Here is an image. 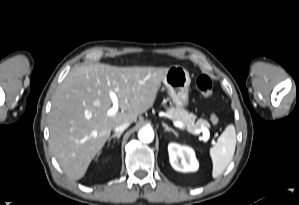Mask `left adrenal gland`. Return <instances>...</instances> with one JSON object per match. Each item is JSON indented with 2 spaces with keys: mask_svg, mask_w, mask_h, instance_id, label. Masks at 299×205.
I'll list each match as a JSON object with an SVG mask.
<instances>
[{
  "mask_svg": "<svg viewBox=\"0 0 299 205\" xmlns=\"http://www.w3.org/2000/svg\"><path fill=\"white\" fill-rule=\"evenodd\" d=\"M163 127H165V131L172 132L174 135H177L176 131L170 128L167 124L162 123Z\"/></svg>",
  "mask_w": 299,
  "mask_h": 205,
  "instance_id": "1",
  "label": "left adrenal gland"
}]
</instances>
